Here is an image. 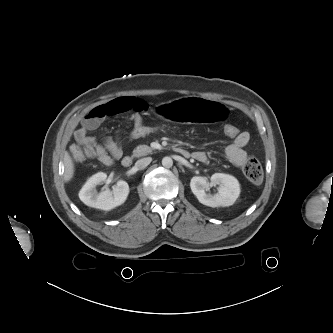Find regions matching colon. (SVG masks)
<instances>
[{"label": "colon", "mask_w": 333, "mask_h": 333, "mask_svg": "<svg viewBox=\"0 0 333 333\" xmlns=\"http://www.w3.org/2000/svg\"><path fill=\"white\" fill-rule=\"evenodd\" d=\"M171 127L162 121H153V122H134L132 127L127 132V137L131 140H141L149 138L156 135H163L171 131ZM224 132L229 138H236L240 131L239 129L232 124H227L224 127ZM72 156L77 162H84L88 158L85 153L77 148L72 149ZM243 172L246 178L253 184L258 185L263 180V169L260 162L255 158L250 156L247 158L243 165Z\"/></svg>", "instance_id": "colon-1"}]
</instances>
